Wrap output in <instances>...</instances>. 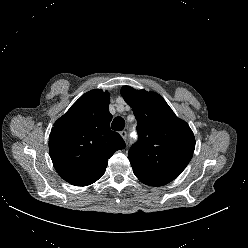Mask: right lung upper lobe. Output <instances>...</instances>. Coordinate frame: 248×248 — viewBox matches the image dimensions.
<instances>
[{
  "label": "right lung upper lobe",
  "instance_id": "right-lung-upper-lobe-1",
  "mask_svg": "<svg viewBox=\"0 0 248 248\" xmlns=\"http://www.w3.org/2000/svg\"><path fill=\"white\" fill-rule=\"evenodd\" d=\"M110 94L100 89L82 95L55 123L49 151L58 174L75 186H87L105 172L107 160L125 148L110 129Z\"/></svg>",
  "mask_w": 248,
  "mask_h": 248
}]
</instances>
